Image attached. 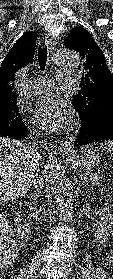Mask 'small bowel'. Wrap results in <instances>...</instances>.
<instances>
[{
  "label": "small bowel",
  "instance_id": "small-bowel-1",
  "mask_svg": "<svg viewBox=\"0 0 113 279\" xmlns=\"http://www.w3.org/2000/svg\"><path fill=\"white\" fill-rule=\"evenodd\" d=\"M112 263H113V254L109 255L106 259H105V265L109 266L110 268H112Z\"/></svg>",
  "mask_w": 113,
  "mask_h": 279
}]
</instances>
